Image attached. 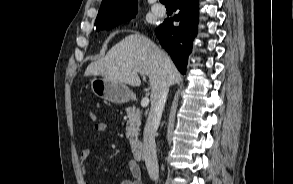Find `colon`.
<instances>
[{
	"label": "colon",
	"instance_id": "1",
	"mask_svg": "<svg viewBox=\"0 0 293 184\" xmlns=\"http://www.w3.org/2000/svg\"><path fill=\"white\" fill-rule=\"evenodd\" d=\"M89 118H90L92 121H95L96 118H97L95 112L90 111V112H89Z\"/></svg>",
	"mask_w": 293,
	"mask_h": 184
}]
</instances>
